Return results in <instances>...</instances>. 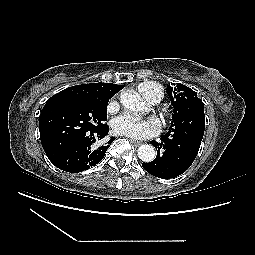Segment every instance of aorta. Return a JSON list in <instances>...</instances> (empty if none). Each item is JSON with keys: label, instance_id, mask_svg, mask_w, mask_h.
Listing matches in <instances>:
<instances>
[{"label": "aorta", "instance_id": "762f6f07", "mask_svg": "<svg viewBox=\"0 0 255 255\" xmlns=\"http://www.w3.org/2000/svg\"><path fill=\"white\" fill-rule=\"evenodd\" d=\"M120 101L122 105L132 111V112H139L142 110L143 103L141 100L133 93H122L120 96ZM138 157L143 162L149 163L152 162L156 157L155 148L150 144H143L141 145L138 150Z\"/></svg>", "mask_w": 255, "mask_h": 255}]
</instances>
